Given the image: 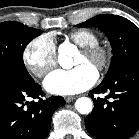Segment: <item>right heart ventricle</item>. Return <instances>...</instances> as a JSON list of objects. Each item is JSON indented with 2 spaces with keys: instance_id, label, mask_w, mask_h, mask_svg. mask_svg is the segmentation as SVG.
I'll return each instance as SVG.
<instances>
[{
  "instance_id": "obj_1",
  "label": "right heart ventricle",
  "mask_w": 139,
  "mask_h": 139,
  "mask_svg": "<svg viewBox=\"0 0 139 139\" xmlns=\"http://www.w3.org/2000/svg\"><path fill=\"white\" fill-rule=\"evenodd\" d=\"M68 38L79 47L95 44L99 41L97 34L87 29L72 31L68 34Z\"/></svg>"
}]
</instances>
